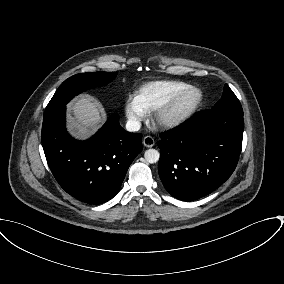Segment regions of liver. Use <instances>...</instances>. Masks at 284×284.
<instances>
[{
	"label": "liver",
	"mask_w": 284,
	"mask_h": 284,
	"mask_svg": "<svg viewBox=\"0 0 284 284\" xmlns=\"http://www.w3.org/2000/svg\"><path fill=\"white\" fill-rule=\"evenodd\" d=\"M69 108L72 116L69 121L77 137L84 138L96 131L102 122L99 105L89 98L81 97L74 100Z\"/></svg>",
	"instance_id": "obj_1"
}]
</instances>
